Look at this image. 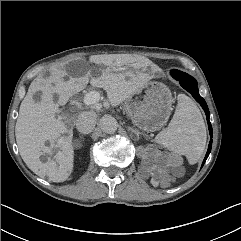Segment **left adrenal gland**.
Segmentation results:
<instances>
[{"label": "left adrenal gland", "mask_w": 241, "mask_h": 241, "mask_svg": "<svg viewBox=\"0 0 241 241\" xmlns=\"http://www.w3.org/2000/svg\"><path fill=\"white\" fill-rule=\"evenodd\" d=\"M128 130L131 131L132 133H134V134L136 135L135 140H138V139H139V136H140V134H141L139 131L133 129L132 127H128Z\"/></svg>", "instance_id": "left-adrenal-gland-1"}]
</instances>
